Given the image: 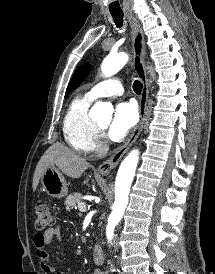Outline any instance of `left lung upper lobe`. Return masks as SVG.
Wrapping results in <instances>:
<instances>
[{
  "label": "left lung upper lobe",
  "instance_id": "obj_1",
  "mask_svg": "<svg viewBox=\"0 0 215 274\" xmlns=\"http://www.w3.org/2000/svg\"><path fill=\"white\" fill-rule=\"evenodd\" d=\"M90 71V66L89 65H82L78 68L76 73L74 74L73 78L68 84V87L66 89L65 97L68 96V94L75 89L83 80L84 78L88 75Z\"/></svg>",
  "mask_w": 215,
  "mask_h": 274
}]
</instances>
